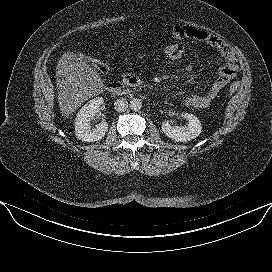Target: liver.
Listing matches in <instances>:
<instances>
[{
	"mask_svg": "<svg viewBox=\"0 0 272 272\" xmlns=\"http://www.w3.org/2000/svg\"><path fill=\"white\" fill-rule=\"evenodd\" d=\"M57 99L61 114L68 118L86 100L103 92L100 74L73 52H65L56 67Z\"/></svg>",
	"mask_w": 272,
	"mask_h": 272,
	"instance_id": "1",
	"label": "liver"
}]
</instances>
